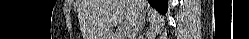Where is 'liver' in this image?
I'll use <instances>...</instances> for the list:
<instances>
[{"mask_svg":"<svg viewBox=\"0 0 249 39\" xmlns=\"http://www.w3.org/2000/svg\"><path fill=\"white\" fill-rule=\"evenodd\" d=\"M138 3L144 11L146 0H82L79 19L85 39H106L110 37L111 29L119 23L128 29Z\"/></svg>","mask_w":249,"mask_h":39,"instance_id":"6515ba94","label":"liver"}]
</instances>
